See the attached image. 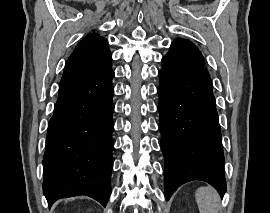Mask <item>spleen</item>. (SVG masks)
Instances as JSON below:
<instances>
[{
	"label": "spleen",
	"instance_id": "spleen-1",
	"mask_svg": "<svg viewBox=\"0 0 270 213\" xmlns=\"http://www.w3.org/2000/svg\"><path fill=\"white\" fill-rule=\"evenodd\" d=\"M195 198L200 213H218L220 197L214 188L210 186L198 188Z\"/></svg>",
	"mask_w": 270,
	"mask_h": 213
}]
</instances>
